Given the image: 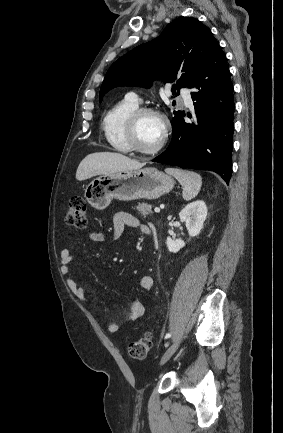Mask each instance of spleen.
<instances>
[{
	"label": "spleen",
	"instance_id": "1",
	"mask_svg": "<svg viewBox=\"0 0 283 433\" xmlns=\"http://www.w3.org/2000/svg\"><path fill=\"white\" fill-rule=\"evenodd\" d=\"M165 172L175 176L179 180L180 184L184 186L182 196L184 200H191L197 196L201 184L202 176L198 172H192V170H181V168H165Z\"/></svg>",
	"mask_w": 283,
	"mask_h": 433
}]
</instances>
